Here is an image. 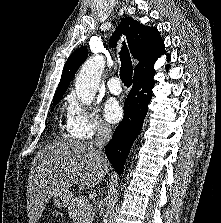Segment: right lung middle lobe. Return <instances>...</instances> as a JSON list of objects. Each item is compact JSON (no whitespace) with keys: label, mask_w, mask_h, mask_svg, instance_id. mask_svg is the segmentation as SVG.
I'll return each instance as SVG.
<instances>
[{"label":"right lung middle lobe","mask_w":221,"mask_h":223,"mask_svg":"<svg viewBox=\"0 0 221 223\" xmlns=\"http://www.w3.org/2000/svg\"><path fill=\"white\" fill-rule=\"evenodd\" d=\"M60 99L61 98L53 99V105H56L60 101Z\"/></svg>","instance_id":"right-lung-middle-lobe-1"}]
</instances>
